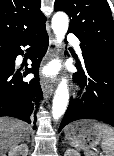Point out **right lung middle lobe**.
<instances>
[{"instance_id": "right-lung-middle-lobe-1", "label": "right lung middle lobe", "mask_w": 114, "mask_h": 156, "mask_svg": "<svg viewBox=\"0 0 114 156\" xmlns=\"http://www.w3.org/2000/svg\"><path fill=\"white\" fill-rule=\"evenodd\" d=\"M11 56L6 47L0 45V66H6L10 63Z\"/></svg>"}]
</instances>
